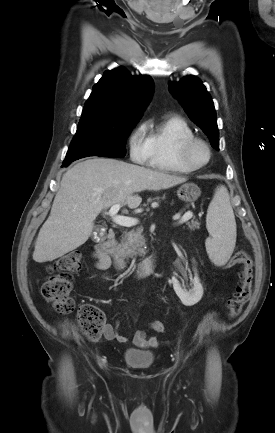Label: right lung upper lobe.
Masks as SVG:
<instances>
[{
  "instance_id": "cb5924a9",
  "label": "right lung upper lobe",
  "mask_w": 275,
  "mask_h": 433,
  "mask_svg": "<svg viewBox=\"0 0 275 433\" xmlns=\"http://www.w3.org/2000/svg\"><path fill=\"white\" fill-rule=\"evenodd\" d=\"M150 76L133 77L125 68L106 71L94 85L80 122L121 123L138 120L153 93Z\"/></svg>"
}]
</instances>
